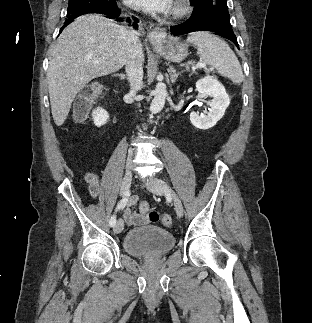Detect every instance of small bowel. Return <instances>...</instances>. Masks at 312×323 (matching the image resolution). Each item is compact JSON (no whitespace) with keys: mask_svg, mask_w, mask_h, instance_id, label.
I'll use <instances>...</instances> for the list:
<instances>
[{"mask_svg":"<svg viewBox=\"0 0 312 323\" xmlns=\"http://www.w3.org/2000/svg\"><path fill=\"white\" fill-rule=\"evenodd\" d=\"M84 180L89 187V192L93 197H97L100 193V181L96 174L88 172L84 175ZM137 204V198L130 199L128 205L123 209V217L128 226H142L147 224L148 218L144 214L137 213L134 210Z\"/></svg>","mask_w":312,"mask_h":323,"instance_id":"1","label":"small bowel"}]
</instances>
